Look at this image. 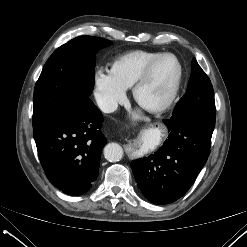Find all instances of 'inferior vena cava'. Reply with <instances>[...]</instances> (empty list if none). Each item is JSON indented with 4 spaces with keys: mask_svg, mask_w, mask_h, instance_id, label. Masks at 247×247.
<instances>
[{
    "mask_svg": "<svg viewBox=\"0 0 247 247\" xmlns=\"http://www.w3.org/2000/svg\"><path fill=\"white\" fill-rule=\"evenodd\" d=\"M97 104L104 113L114 112L118 107L117 102L109 99H98Z\"/></svg>",
    "mask_w": 247,
    "mask_h": 247,
    "instance_id": "obj_1",
    "label": "inferior vena cava"
}]
</instances>
